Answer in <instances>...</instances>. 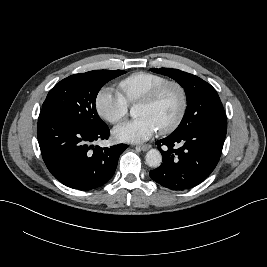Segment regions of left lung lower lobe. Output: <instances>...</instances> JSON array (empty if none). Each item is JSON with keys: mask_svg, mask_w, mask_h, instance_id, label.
<instances>
[{"mask_svg": "<svg viewBox=\"0 0 267 267\" xmlns=\"http://www.w3.org/2000/svg\"><path fill=\"white\" fill-rule=\"evenodd\" d=\"M226 132L227 122L216 121L158 140L156 144L163 156V163L150 171V177L171 190L195 187L216 167Z\"/></svg>", "mask_w": 267, "mask_h": 267, "instance_id": "0a47b994", "label": "left lung lower lobe"}]
</instances>
